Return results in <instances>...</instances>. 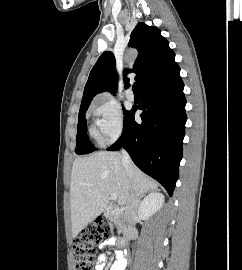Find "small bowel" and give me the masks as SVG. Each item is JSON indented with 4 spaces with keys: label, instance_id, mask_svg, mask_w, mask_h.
<instances>
[{
    "label": "small bowel",
    "instance_id": "small-bowel-1",
    "mask_svg": "<svg viewBox=\"0 0 242 270\" xmlns=\"http://www.w3.org/2000/svg\"><path fill=\"white\" fill-rule=\"evenodd\" d=\"M115 244V240L113 239H108L104 241L103 246H112ZM115 262L113 263L111 270H124L126 266V260H125V254L121 250H117L115 252ZM105 261H106V256L105 255H100L98 257L97 265H96V270H105Z\"/></svg>",
    "mask_w": 242,
    "mask_h": 270
}]
</instances>
